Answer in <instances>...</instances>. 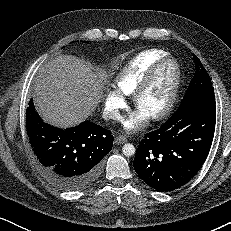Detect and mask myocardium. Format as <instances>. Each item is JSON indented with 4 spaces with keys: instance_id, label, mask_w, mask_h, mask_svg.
<instances>
[{
    "instance_id": "obj_1",
    "label": "myocardium",
    "mask_w": 231,
    "mask_h": 231,
    "mask_svg": "<svg viewBox=\"0 0 231 231\" xmlns=\"http://www.w3.org/2000/svg\"><path fill=\"white\" fill-rule=\"evenodd\" d=\"M166 63H171L174 67L173 80L165 105L158 113L149 117L152 121H160L168 117L175 106L176 99L181 85V69L178 61L174 57L168 55L158 59L150 67V69L148 70V72L146 73V75L144 76V78L142 79V81L139 83V85L136 87V89L132 94L134 105L136 108H139V104L142 96L150 88L158 71Z\"/></svg>"
}]
</instances>
